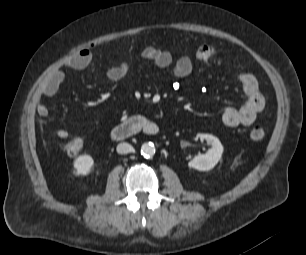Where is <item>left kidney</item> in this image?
<instances>
[{
	"mask_svg": "<svg viewBox=\"0 0 306 255\" xmlns=\"http://www.w3.org/2000/svg\"><path fill=\"white\" fill-rule=\"evenodd\" d=\"M197 137L206 140L211 148L205 154L195 156L188 163V167L199 171L211 170L221 159L223 146L219 139L211 134H198Z\"/></svg>",
	"mask_w": 306,
	"mask_h": 255,
	"instance_id": "1",
	"label": "left kidney"
}]
</instances>
